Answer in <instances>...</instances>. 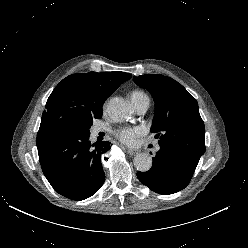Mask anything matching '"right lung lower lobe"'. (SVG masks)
I'll use <instances>...</instances> for the list:
<instances>
[{"mask_svg":"<svg viewBox=\"0 0 248 248\" xmlns=\"http://www.w3.org/2000/svg\"><path fill=\"white\" fill-rule=\"evenodd\" d=\"M90 132L67 129L38 148L43 173L59 194L84 200L103 185L101 155L111 148L106 142L89 141Z\"/></svg>","mask_w":248,"mask_h":248,"instance_id":"1","label":"right lung lower lobe"}]
</instances>
